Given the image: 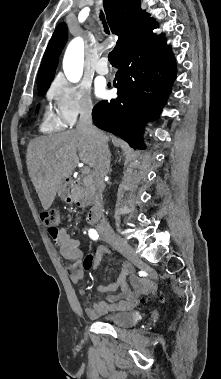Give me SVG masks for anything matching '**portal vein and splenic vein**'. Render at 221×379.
Masks as SVG:
<instances>
[{
	"mask_svg": "<svg viewBox=\"0 0 221 379\" xmlns=\"http://www.w3.org/2000/svg\"><path fill=\"white\" fill-rule=\"evenodd\" d=\"M90 172V168L89 167H85L82 169V174L86 175V174H89Z\"/></svg>",
	"mask_w": 221,
	"mask_h": 379,
	"instance_id": "obj_1",
	"label": "portal vein and splenic vein"
}]
</instances>
